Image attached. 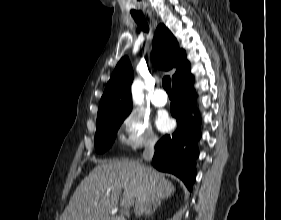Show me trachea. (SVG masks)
<instances>
[{"label": "trachea", "instance_id": "3493384b", "mask_svg": "<svg viewBox=\"0 0 281 220\" xmlns=\"http://www.w3.org/2000/svg\"><path fill=\"white\" fill-rule=\"evenodd\" d=\"M131 15L133 16L134 20L137 22L139 27L144 30L145 32L148 31V25L146 23V20L143 16V14L140 11H131ZM162 85L165 91L167 92L168 95H172V90H171V80L169 76H165L162 80Z\"/></svg>", "mask_w": 281, "mask_h": 220}]
</instances>
